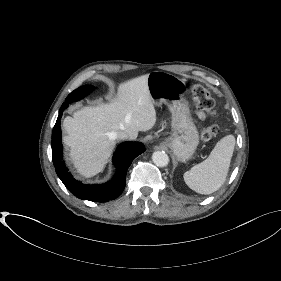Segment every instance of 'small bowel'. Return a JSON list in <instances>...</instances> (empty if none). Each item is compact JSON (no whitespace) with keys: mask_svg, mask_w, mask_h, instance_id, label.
<instances>
[{"mask_svg":"<svg viewBox=\"0 0 281 281\" xmlns=\"http://www.w3.org/2000/svg\"><path fill=\"white\" fill-rule=\"evenodd\" d=\"M199 118H203V114L202 113H198Z\"/></svg>","mask_w":281,"mask_h":281,"instance_id":"obj_1","label":"small bowel"}]
</instances>
